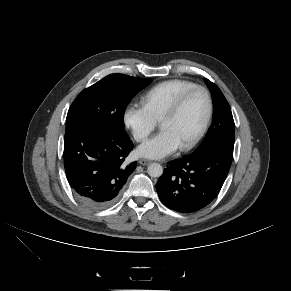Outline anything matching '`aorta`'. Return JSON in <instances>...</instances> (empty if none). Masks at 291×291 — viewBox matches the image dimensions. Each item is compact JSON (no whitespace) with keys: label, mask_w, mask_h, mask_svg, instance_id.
Instances as JSON below:
<instances>
[{"label":"aorta","mask_w":291,"mask_h":291,"mask_svg":"<svg viewBox=\"0 0 291 291\" xmlns=\"http://www.w3.org/2000/svg\"><path fill=\"white\" fill-rule=\"evenodd\" d=\"M147 172L151 177L157 178L163 174V167L158 163H151L147 168Z\"/></svg>","instance_id":"762f6f07"}]
</instances>
